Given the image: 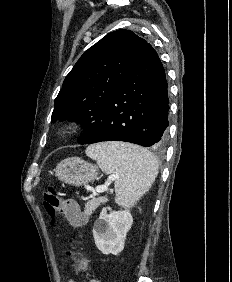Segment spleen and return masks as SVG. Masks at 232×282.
<instances>
[{
  "label": "spleen",
  "mask_w": 232,
  "mask_h": 282,
  "mask_svg": "<svg viewBox=\"0 0 232 282\" xmlns=\"http://www.w3.org/2000/svg\"><path fill=\"white\" fill-rule=\"evenodd\" d=\"M86 154L106 174H117L115 202L132 207L151 188L158 174V161L148 150L136 145L110 142L91 145Z\"/></svg>",
  "instance_id": "obj_1"
}]
</instances>
